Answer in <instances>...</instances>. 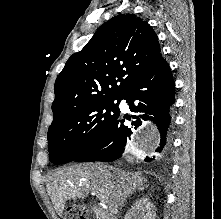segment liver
Instances as JSON below:
<instances>
[{"label": "liver", "instance_id": "liver-1", "mask_svg": "<svg viewBox=\"0 0 221 219\" xmlns=\"http://www.w3.org/2000/svg\"><path fill=\"white\" fill-rule=\"evenodd\" d=\"M147 183L139 173L101 163H85L63 167L49 178L47 192L59 216L67 200L85 198L89 191L104 200L111 215L122 209L126 199Z\"/></svg>", "mask_w": 221, "mask_h": 219}]
</instances>
